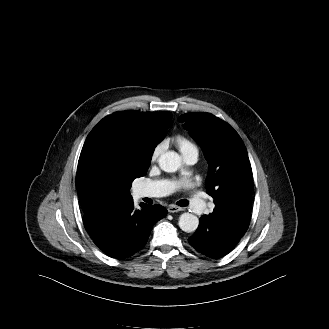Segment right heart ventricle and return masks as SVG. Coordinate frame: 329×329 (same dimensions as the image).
<instances>
[{
  "mask_svg": "<svg viewBox=\"0 0 329 329\" xmlns=\"http://www.w3.org/2000/svg\"><path fill=\"white\" fill-rule=\"evenodd\" d=\"M172 141L183 156H186L190 151L196 148V146L190 140L181 135L175 136Z\"/></svg>",
  "mask_w": 329,
  "mask_h": 329,
  "instance_id": "e07e8e85",
  "label": "right heart ventricle"
}]
</instances>
